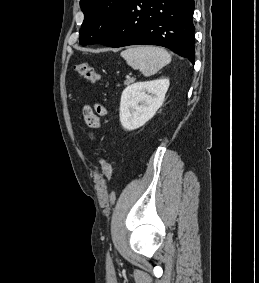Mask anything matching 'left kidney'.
I'll use <instances>...</instances> for the list:
<instances>
[{
	"label": "left kidney",
	"instance_id": "obj_1",
	"mask_svg": "<svg viewBox=\"0 0 259 283\" xmlns=\"http://www.w3.org/2000/svg\"><path fill=\"white\" fill-rule=\"evenodd\" d=\"M169 79L137 82L121 95L120 122L127 131L143 126L162 106L169 88Z\"/></svg>",
	"mask_w": 259,
	"mask_h": 283
}]
</instances>
